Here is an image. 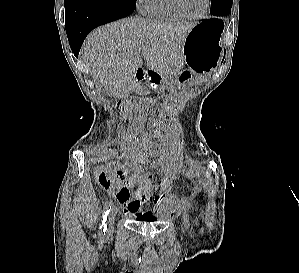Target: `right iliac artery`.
I'll return each instance as SVG.
<instances>
[{
	"instance_id": "82829eb1",
	"label": "right iliac artery",
	"mask_w": 299,
	"mask_h": 273,
	"mask_svg": "<svg viewBox=\"0 0 299 273\" xmlns=\"http://www.w3.org/2000/svg\"><path fill=\"white\" fill-rule=\"evenodd\" d=\"M112 206V200H108L105 202L104 204V209H103V220H102V224L100 226V230H99V236L102 237L105 235V231H106V220H107V215L111 209Z\"/></svg>"
}]
</instances>
